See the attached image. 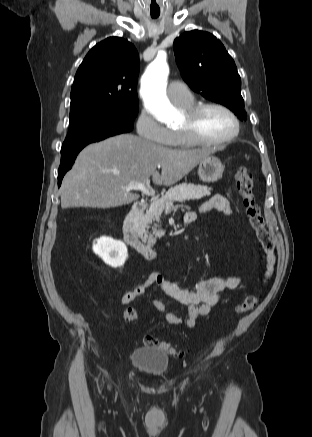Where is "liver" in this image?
<instances>
[{
    "mask_svg": "<svg viewBox=\"0 0 312 437\" xmlns=\"http://www.w3.org/2000/svg\"><path fill=\"white\" fill-rule=\"evenodd\" d=\"M213 149H173L132 134L86 146L60 188L62 208H112L132 203L137 194L123 189L152 176L156 185L180 181ZM161 168V174L157 170Z\"/></svg>",
    "mask_w": 312,
    "mask_h": 437,
    "instance_id": "1",
    "label": "liver"
}]
</instances>
